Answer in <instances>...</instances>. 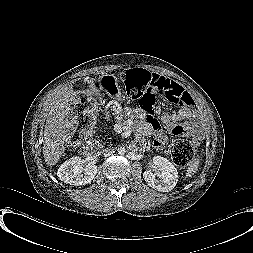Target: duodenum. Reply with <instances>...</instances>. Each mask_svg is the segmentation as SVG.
I'll list each match as a JSON object with an SVG mask.
<instances>
[{
  "label": "duodenum",
  "mask_w": 253,
  "mask_h": 253,
  "mask_svg": "<svg viewBox=\"0 0 253 253\" xmlns=\"http://www.w3.org/2000/svg\"><path fill=\"white\" fill-rule=\"evenodd\" d=\"M84 154L88 156H97L101 152V148L98 144L94 142H88L83 147Z\"/></svg>",
  "instance_id": "duodenum-1"
}]
</instances>
